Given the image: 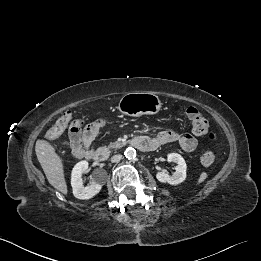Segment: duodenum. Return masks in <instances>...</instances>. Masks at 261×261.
<instances>
[{"mask_svg":"<svg viewBox=\"0 0 261 261\" xmlns=\"http://www.w3.org/2000/svg\"><path fill=\"white\" fill-rule=\"evenodd\" d=\"M133 144L141 151L148 152L156 149V146L147 138L136 137L132 140ZM109 150L101 149L97 151H86L84 156L96 162H104L109 158Z\"/></svg>","mask_w":261,"mask_h":261,"instance_id":"obj_1","label":"duodenum"}]
</instances>
